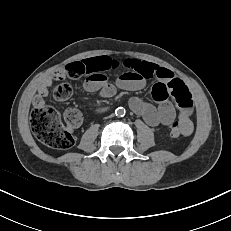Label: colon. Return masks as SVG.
Here are the masks:
<instances>
[{"instance_id": "colon-1", "label": "colon", "mask_w": 231, "mask_h": 231, "mask_svg": "<svg viewBox=\"0 0 231 231\" xmlns=\"http://www.w3.org/2000/svg\"><path fill=\"white\" fill-rule=\"evenodd\" d=\"M66 74L70 78H76L83 75L82 66L76 62L67 64ZM72 94V87L68 83H61L53 90V97L56 100L63 101ZM82 116L76 109H68L61 115L56 109L45 104L34 105L30 122L33 134L36 138L48 147L67 150L74 142L72 129L81 124ZM170 134L173 138L180 137L183 129L179 123H173L170 127Z\"/></svg>"}]
</instances>
